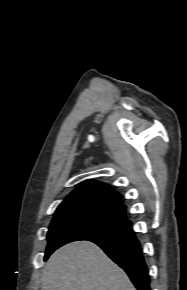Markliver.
<instances>
[{"instance_id": "6515ba94", "label": "liver", "mask_w": 187, "mask_h": 290, "mask_svg": "<svg viewBox=\"0 0 187 290\" xmlns=\"http://www.w3.org/2000/svg\"><path fill=\"white\" fill-rule=\"evenodd\" d=\"M41 290H136L127 274L96 244L72 242L48 259Z\"/></svg>"}]
</instances>
